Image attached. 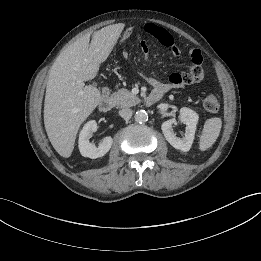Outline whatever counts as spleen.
<instances>
[{
    "instance_id": "obj_1",
    "label": "spleen",
    "mask_w": 261,
    "mask_h": 261,
    "mask_svg": "<svg viewBox=\"0 0 261 261\" xmlns=\"http://www.w3.org/2000/svg\"><path fill=\"white\" fill-rule=\"evenodd\" d=\"M221 127L222 121L220 118L214 117L205 121L199 138V149L201 151L207 150L216 142L220 134Z\"/></svg>"
}]
</instances>
